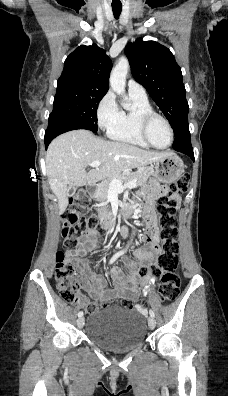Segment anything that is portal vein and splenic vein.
Returning <instances> with one entry per match:
<instances>
[{
    "instance_id": "portal-vein-and-splenic-vein-1",
    "label": "portal vein and splenic vein",
    "mask_w": 228,
    "mask_h": 396,
    "mask_svg": "<svg viewBox=\"0 0 228 396\" xmlns=\"http://www.w3.org/2000/svg\"><path fill=\"white\" fill-rule=\"evenodd\" d=\"M101 163L102 162L99 161V160L93 161V162L90 163V166L93 167V168H97V167H99L101 165ZM135 186H136V180H132L130 182L122 184V182L119 179H116V178L113 179L111 181V184H110V188L114 192H122V191H124L127 188L131 189V188H134Z\"/></svg>"
}]
</instances>
